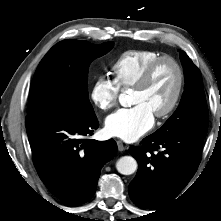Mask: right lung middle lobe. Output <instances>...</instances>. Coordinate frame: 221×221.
Segmentation results:
<instances>
[{
	"label": "right lung middle lobe",
	"mask_w": 221,
	"mask_h": 221,
	"mask_svg": "<svg viewBox=\"0 0 221 221\" xmlns=\"http://www.w3.org/2000/svg\"><path fill=\"white\" fill-rule=\"evenodd\" d=\"M112 44L63 40L52 47L38 65L31 83L27 115L53 112L70 117H95L88 98V69Z\"/></svg>",
	"instance_id": "1"
}]
</instances>
